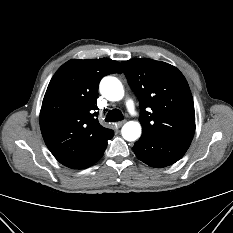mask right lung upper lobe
<instances>
[{
  "mask_svg": "<svg viewBox=\"0 0 233 233\" xmlns=\"http://www.w3.org/2000/svg\"><path fill=\"white\" fill-rule=\"evenodd\" d=\"M122 73L111 59H72L52 77L40 112L44 141L64 166L84 169L103 154L113 130L102 127L96 118L100 80L108 74Z\"/></svg>",
  "mask_w": 233,
  "mask_h": 233,
  "instance_id": "obj_1",
  "label": "right lung upper lobe"
}]
</instances>
